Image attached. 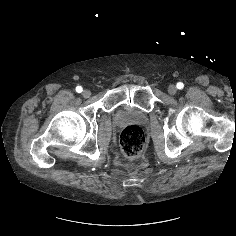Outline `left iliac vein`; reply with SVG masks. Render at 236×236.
Segmentation results:
<instances>
[{
	"instance_id": "obj_1",
	"label": "left iliac vein",
	"mask_w": 236,
	"mask_h": 236,
	"mask_svg": "<svg viewBox=\"0 0 236 236\" xmlns=\"http://www.w3.org/2000/svg\"><path fill=\"white\" fill-rule=\"evenodd\" d=\"M168 92H169V94H171V95L176 94V92H177L176 86L173 85V84L169 85V86H168Z\"/></svg>"
}]
</instances>
